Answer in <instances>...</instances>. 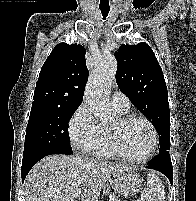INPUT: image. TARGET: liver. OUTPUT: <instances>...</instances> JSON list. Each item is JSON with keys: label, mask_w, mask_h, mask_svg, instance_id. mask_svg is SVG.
Returning a JSON list of instances; mask_svg holds the SVG:
<instances>
[{"label": "liver", "mask_w": 196, "mask_h": 201, "mask_svg": "<svg viewBox=\"0 0 196 201\" xmlns=\"http://www.w3.org/2000/svg\"><path fill=\"white\" fill-rule=\"evenodd\" d=\"M126 171L134 172L114 163L74 155H50L28 173L23 184L24 201H75L74 194L78 191H81L79 201H97L106 181Z\"/></svg>", "instance_id": "6515ba94"}]
</instances>
